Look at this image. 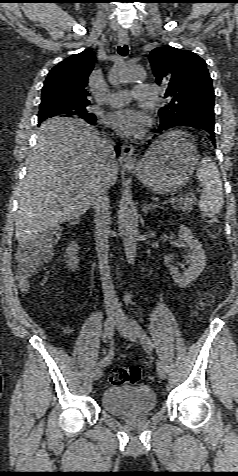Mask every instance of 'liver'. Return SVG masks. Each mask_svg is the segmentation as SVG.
<instances>
[{
    "label": "liver",
    "mask_w": 238,
    "mask_h": 476,
    "mask_svg": "<svg viewBox=\"0 0 238 476\" xmlns=\"http://www.w3.org/2000/svg\"><path fill=\"white\" fill-rule=\"evenodd\" d=\"M102 140L97 129L82 119L54 117L41 124L19 189L15 223L19 242L34 240L90 208L106 174ZM109 177L112 186L118 177L117 163Z\"/></svg>",
    "instance_id": "6515ba94"
}]
</instances>
